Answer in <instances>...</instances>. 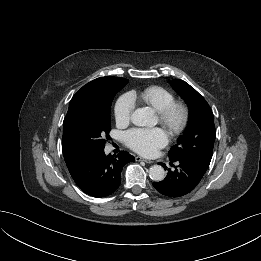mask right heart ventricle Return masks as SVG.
Returning <instances> with one entry per match:
<instances>
[{"instance_id": "obj_1", "label": "right heart ventricle", "mask_w": 261, "mask_h": 261, "mask_svg": "<svg viewBox=\"0 0 261 261\" xmlns=\"http://www.w3.org/2000/svg\"><path fill=\"white\" fill-rule=\"evenodd\" d=\"M129 95L133 101H140L156 112H160L175 101L173 93L160 86H150L140 91H133Z\"/></svg>"}]
</instances>
